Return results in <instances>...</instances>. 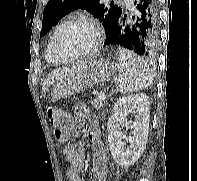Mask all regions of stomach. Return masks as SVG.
Masks as SVG:
<instances>
[{"label": "stomach", "instance_id": "0dacf381", "mask_svg": "<svg viewBox=\"0 0 197 181\" xmlns=\"http://www.w3.org/2000/svg\"><path fill=\"white\" fill-rule=\"evenodd\" d=\"M117 72V65L107 58H98L86 63L85 67L55 83L52 97L67 98L87 88L103 85Z\"/></svg>", "mask_w": 197, "mask_h": 181}]
</instances>
